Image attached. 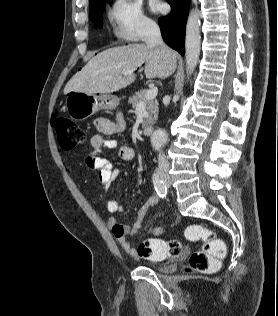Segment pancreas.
<instances>
[{"instance_id":"pancreas-1","label":"pancreas","mask_w":278,"mask_h":316,"mask_svg":"<svg viewBox=\"0 0 278 316\" xmlns=\"http://www.w3.org/2000/svg\"><path fill=\"white\" fill-rule=\"evenodd\" d=\"M146 90L136 92L132 97L129 98L128 102L135 108L140 102H144L146 110L149 113V117L143 122L142 127L148 124H153L158 117V103L154 99H145Z\"/></svg>"}]
</instances>
